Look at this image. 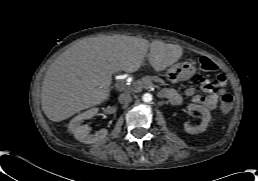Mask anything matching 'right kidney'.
I'll return each mask as SVG.
<instances>
[{
  "mask_svg": "<svg viewBox=\"0 0 258 181\" xmlns=\"http://www.w3.org/2000/svg\"><path fill=\"white\" fill-rule=\"evenodd\" d=\"M96 110L91 109L88 110L78 116H76L69 124V131L74 134L75 138L80 142L86 144H92L99 140L104 139L108 135V130L103 129L97 132L96 134L89 135L88 127L86 125H82L85 119H92L96 115Z\"/></svg>",
  "mask_w": 258,
  "mask_h": 181,
  "instance_id": "1",
  "label": "right kidney"
}]
</instances>
